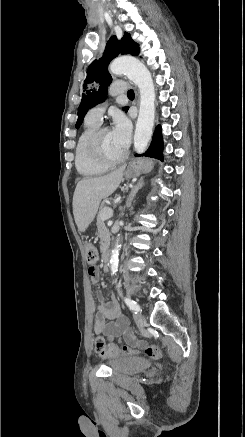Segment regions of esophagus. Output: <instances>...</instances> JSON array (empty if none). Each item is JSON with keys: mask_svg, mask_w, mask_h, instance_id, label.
I'll return each mask as SVG.
<instances>
[{"mask_svg": "<svg viewBox=\"0 0 245 437\" xmlns=\"http://www.w3.org/2000/svg\"><path fill=\"white\" fill-rule=\"evenodd\" d=\"M136 101H139V89L135 87Z\"/></svg>", "mask_w": 245, "mask_h": 437, "instance_id": "34e87169", "label": "esophagus"}]
</instances>
